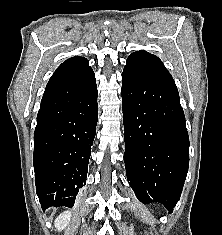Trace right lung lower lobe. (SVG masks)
I'll return each mask as SVG.
<instances>
[{
	"mask_svg": "<svg viewBox=\"0 0 222 235\" xmlns=\"http://www.w3.org/2000/svg\"><path fill=\"white\" fill-rule=\"evenodd\" d=\"M97 121L92 69L49 80L34 132L35 184L43 210L74 205L86 182Z\"/></svg>",
	"mask_w": 222,
	"mask_h": 235,
	"instance_id": "obj_1",
	"label": "right lung lower lobe"
}]
</instances>
